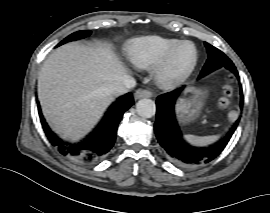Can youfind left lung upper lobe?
I'll return each instance as SVG.
<instances>
[{
	"label": "left lung upper lobe",
	"mask_w": 270,
	"mask_h": 213,
	"mask_svg": "<svg viewBox=\"0 0 270 213\" xmlns=\"http://www.w3.org/2000/svg\"><path fill=\"white\" fill-rule=\"evenodd\" d=\"M205 46L208 51V59L200 72L199 78L213 72L214 70H217L221 67H230L234 64L232 61L219 49L215 48L214 46L208 44L205 42Z\"/></svg>",
	"instance_id": "obj_1"
}]
</instances>
